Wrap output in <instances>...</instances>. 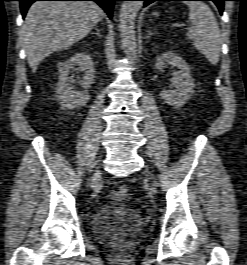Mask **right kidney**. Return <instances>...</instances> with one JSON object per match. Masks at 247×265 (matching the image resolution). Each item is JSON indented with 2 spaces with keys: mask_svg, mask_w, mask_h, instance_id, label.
I'll return each instance as SVG.
<instances>
[{
  "mask_svg": "<svg viewBox=\"0 0 247 265\" xmlns=\"http://www.w3.org/2000/svg\"><path fill=\"white\" fill-rule=\"evenodd\" d=\"M79 66L83 71V80L79 82L82 91H72L71 83L74 81L69 77L70 70ZM59 80L56 86V97L63 109H75L87 104L90 99L88 88L94 83V64L89 55L84 52L76 53L65 62L59 63Z\"/></svg>",
  "mask_w": 247,
  "mask_h": 265,
  "instance_id": "obj_1",
  "label": "right kidney"
}]
</instances>
